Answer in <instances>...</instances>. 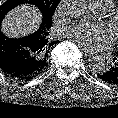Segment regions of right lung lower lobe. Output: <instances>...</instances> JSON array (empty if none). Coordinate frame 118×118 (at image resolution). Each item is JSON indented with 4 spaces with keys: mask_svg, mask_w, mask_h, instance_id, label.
I'll return each mask as SVG.
<instances>
[{
    "mask_svg": "<svg viewBox=\"0 0 118 118\" xmlns=\"http://www.w3.org/2000/svg\"><path fill=\"white\" fill-rule=\"evenodd\" d=\"M36 48L33 34L13 39L0 30V71L16 81L36 77Z\"/></svg>",
    "mask_w": 118,
    "mask_h": 118,
    "instance_id": "obj_1",
    "label": "right lung lower lobe"
}]
</instances>
